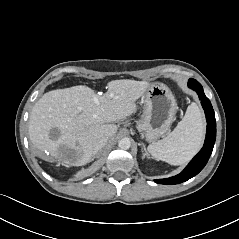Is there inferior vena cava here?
I'll list each match as a JSON object with an SVG mask.
<instances>
[{"label":"inferior vena cava","instance_id":"obj_1","mask_svg":"<svg viewBox=\"0 0 239 239\" xmlns=\"http://www.w3.org/2000/svg\"><path fill=\"white\" fill-rule=\"evenodd\" d=\"M108 142V139L107 138H102L98 141L97 143V150H101Z\"/></svg>","mask_w":239,"mask_h":239}]
</instances>
